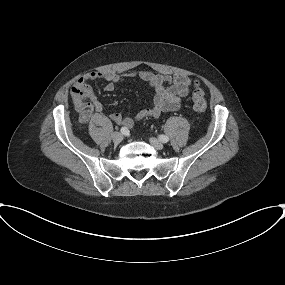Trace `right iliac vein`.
<instances>
[{
  "mask_svg": "<svg viewBox=\"0 0 285 285\" xmlns=\"http://www.w3.org/2000/svg\"><path fill=\"white\" fill-rule=\"evenodd\" d=\"M123 134L120 132H114L112 134V139L114 141V143H120L123 140Z\"/></svg>",
  "mask_w": 285,
  "mask_h": 285,
  "instance_id": "1",
  "label": "right iliac vein"
}]
</instances>
